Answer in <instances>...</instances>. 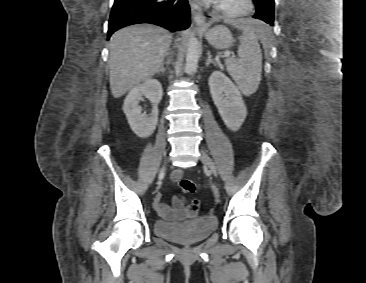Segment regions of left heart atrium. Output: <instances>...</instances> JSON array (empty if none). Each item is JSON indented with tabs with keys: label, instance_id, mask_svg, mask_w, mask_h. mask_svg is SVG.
Segmentation results:
<instances>
[{
	"label": "left heart atrium",
	"instance_id": "39dd6f15",
	"mask_svg": "<svg viewBox=\"0 0 366 283\" xmlns=\"http://www.w3.org/2000/svg\"><path fill=\"white\" fill-rule=\"evenodd\" d=\"M205 1L212 2V3H218V2H220L221 0H205Z\"/></svg>",
	"mask_w": 366,
	"mask_h": 283
}]
</instances>
